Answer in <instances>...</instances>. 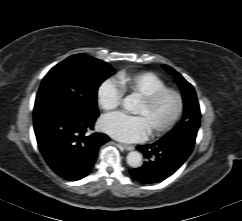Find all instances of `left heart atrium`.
Returning <instances> with one entry per match:
<instances>
[{
    "instance_id": "obj_1",
    "label": "left heart atrium",
    "mask_w": 242,
    "mask_h": 221,
    "mask_svg": "<svg viewBox=\"0 0 242 221\" xmlns=\"http://www.w3.org/2000/svg\"><path fill=\"white\" fill-rule=\"evenodd\" d=\"M102 130L122 142H135L143 139L149 132L145 119L121 112L106 115L101 120Z\"/></svg>"
}]
</instances>
